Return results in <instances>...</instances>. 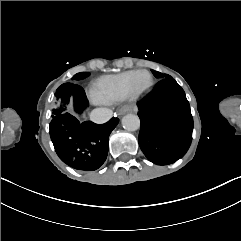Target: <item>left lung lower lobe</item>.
Returning <instances> with one entry per match:
<instances>
[{
	"label": "left lung lower lobe",
	"instance_id": "obj_1",
	"mask_svg": "<svg viewBox=\"0 0 241 241\" xmlns=\"http://www.w3.org/2000/svg\"><path fill=\"white\" fill-rule=\"evenodd\" d=\"M139 146L148 160L166 165L181 158L192 140L193 118L182 87L170 76L137 103Z\"/></svg>",
	"mask_w": 241,
	"mask_h": 241
}]
</instances>
